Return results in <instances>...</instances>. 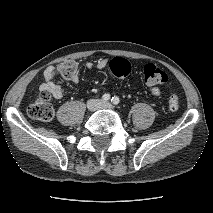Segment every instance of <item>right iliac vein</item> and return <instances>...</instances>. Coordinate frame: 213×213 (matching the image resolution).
<instances>
[{"label":"right iliac vein","instance_id":"1","mask_svg":"<svg viewBox=\"0 0 213 213\" xmlns=\"http://www.w3.org/2000/svg\"><path fill=\"white\" fill-rule=\"evenodd\" d=\"M100 101L99 100H92L87 104V108L89 111H95L97 108L100 106Z\"/></svg>","mask_w":213,"mask_h":213}]
</instances>
